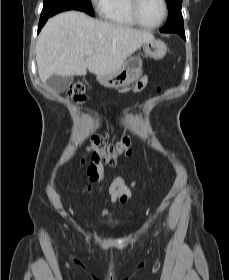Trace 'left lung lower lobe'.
Here are the masks:
<instances>
[{
	"mask_svg": "<svg viewBox=\"0 0 229 280\" xmlns=\"http://www.w3.org/2000/svg\"><path fill=\"white\" fill-rule=\"evenodd\" d=\"M176 33L179 34L183 39L186 40L184 30H183V31H178V32H176Z\"/></svg>",
	"mask_w": 229,
	"mask_h": 280,
	"instance_id": "0a47b994",
	"label": "left lung lower lobe"
}]
</instances>
